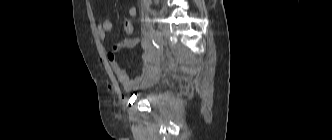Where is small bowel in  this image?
<instances>
[{
    "mask_svg": "<svg viewBox=\"0 0 332 140\" xmlns=\"http://www.w3.org/2000/svg\"><path fill=\"white\" fill-rule=\"evenodd\" d=\"M130 17H135L137 10L135 7H130L128 10ZM113 23L109 19L100 20L97 26V34L100 40H105L107 34L112 31ZM140 44L143 48V73L136 78H130L126 69L122 68L116 61V53L121 49H131ZM108 60L111 63L113 73L117 80L121 83L126 91H134L147 85L153 77L154 58L153 51L146 36L141 38L126 37L120 41L107 54Z\"/></svg>",
    "mask_w": 332,
    "mask_h": 140,
    "instance_id": "1",
    "label": "small bowel"
}]
</instances>
